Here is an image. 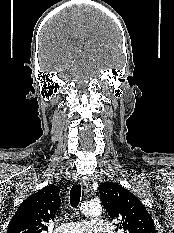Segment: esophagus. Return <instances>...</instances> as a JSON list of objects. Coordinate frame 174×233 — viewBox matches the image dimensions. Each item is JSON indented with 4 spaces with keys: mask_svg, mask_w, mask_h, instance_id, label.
<instances>
[{
    "mask_svg": "<svg viewBox=\"0 0 174 233\" xmlns=\"http://www.w3.org/2000/svg\"><path fill=\"white\" fill-rule=\"evenodd\" d=\"M79 183L81 184L82 189L84 190V192H87L88 187H89V182L87 180H85V179H80Z\"/></svg>",
    "mask_w": 174,
    "mask_h": 233,
    "instance_id": "esophagus-1",
    "label": "esophagus"
}]
</instances>
